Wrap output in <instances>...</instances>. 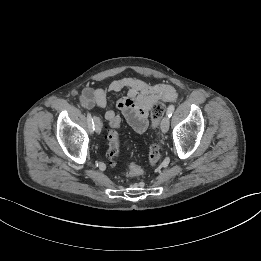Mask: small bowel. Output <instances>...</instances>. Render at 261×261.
I'll list each match as a JSON object with an SVG mask.
<instances>
[{
    "label": "small bowel",
    "mask_w": 261,
    "mask_h": 261,
    "mask_svg": "<svg viewBox=\"0 0 261 261\" xmlns=\"http://www.w3.org/2000/svg\"><path fill=\"white\" fill-rule=\"evenodd\" d=\"M126 90L124 97L116 103V109L125 117L130 126L138 133L148 127V115L151 107L158 101L172 102L178 98L176 89L167 83H148L134 78H123L111 81L104 88L86 87L82 90L80 101L83 107L105 108L107 94ZM107 121L119 117L116 111L108 109L104 115Z\"/></svg>",
    "instance_id": "obj_1"
}]
</instances>
